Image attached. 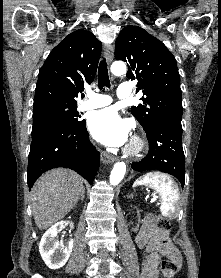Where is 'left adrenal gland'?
<instances>
[{
	"label": "left adrenal gland",
	"instance_id": "obj_1",
	"mask_svg": "<svg viewBox=\"0 0 221 278\" xmlns=\"http://www.w3.org/2000/svg\"><path fill=\"white\" fill-rule=\"evenodd\" d=\"M127 197H128V198H132V197H133V194H130V195H128Z\"/></svg>",
	"mask_w": 221,
	"mask_h": 278
}]
</instances>
